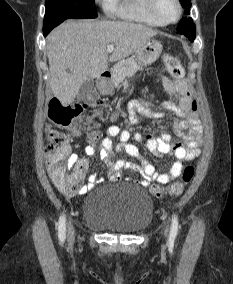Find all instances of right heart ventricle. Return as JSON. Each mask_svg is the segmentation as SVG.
<instances>
[{
  "instance_id": "obj_1",
  "label": "right heart ventricle",
  "mask_w": 233,
  "mask_h": 284,
  "mask_svg": "<svg viewBox=\"0 0 233 284\" xmlns=\"http://www.w3.org/2000/svg\"><path fill=\"white\" fill-rule=\"evenodd\" d=\"M105 11L119 19L159 27L149 10V0H103Z\"/></svg>"
}]
</instances>
